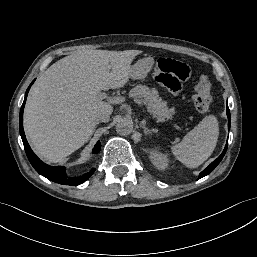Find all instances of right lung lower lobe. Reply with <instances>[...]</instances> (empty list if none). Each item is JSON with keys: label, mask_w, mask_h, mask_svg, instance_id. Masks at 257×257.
Here are the masks:
<instances>
[{"label": "right lung lower lobe", "mask_w": 257, "mask_h": 257, "mask_svg": "<svg viewBox=\"0 0 257 257\" xmlns=\"http://www.w3.org/2000/svg\"><path fill=\"white\" fill-rule=\"evenodd\" d=\"M34 82V81H33ZM33 82L30 84V86L28 87L26 93H25V99L24 102L21 106V110H20V116H19V128H20V135L24 144V149L26 152V155L31 163V165L34 167V169L41 174L42 176L46 177L47 179L59 183V184H63V185H79L83 182H85L87 179H89V177L94 173L95 168H93L90 172L79 176V177H67L66 173H65V167L62 166H49L45 163H43L31 150L26 137H25V133L23 130V110H24V106H25V102H26V98H27V94L28 91L31 87V85L33 84ZM100 141H98L96 143V145L94 146L92 153L96 154L100 151Z\"/></svg>", "instance_id": "right-lung-lower-lobe-1"}]
</instances>
